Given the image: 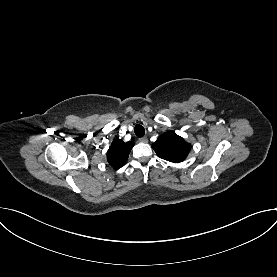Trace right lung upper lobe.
Masks as SVG:
<instances>
[{
  "label": "right lung upper lobe",
  "instance_id": "obj_1",
  "mask_svg": "<svg viewBox=\"0 0 277 277\" xmlns=\"http://www.w3.org/2000/svg\"><path fill=\"white\" fill-rule=\"evenodd\" d=\"M134 143L132 141L124 142L121 139H115L107 151V161L114 168L122 167L129 156Z\"/></svg>",
  "mask_w": 277,
  "mask_h": 277
}]
</instances>
